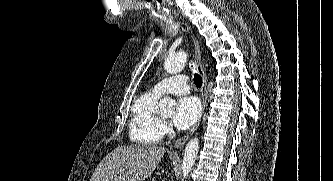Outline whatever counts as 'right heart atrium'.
Instances as JSON below:
<instances>
[{
	"label": "right heart atrium",
	"mask_w": 333,
	"mask_h": 181,
	"mask_svg": "<svg viewBox=\"0 0 333 181\" xmlns=\"http://www.w3.org/2000/svg\"><path fill=\"white\" fill-rule=\"evenodd\" d=\"M171 132H172L171 125L165 120L161 121V123H160V133H161V135L162 136L169 135Z\"/></svg>",
	"instance_id": "d8ad5b80"
}]
</instances>
